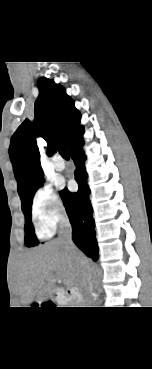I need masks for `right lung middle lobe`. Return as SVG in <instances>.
I'll return each instance as SVG.
<instances>
[{"mask_svg": "<svg viewBox=\"0 0 152 369\" xmlns=\"http://www.w3.org/2000/svg\"><path fill=\"white\" fill-rule=\"evenodd\" d=\"M43 184V180L34 185L31 189H29L21 201V208L25 215V245L27 247H33L39 244L35 234L34 228L31 223V206L32 199L36 192V190Z\"/></svg>", "mask_w": 152, "mask_h": 369, "instance_id": "dd1d6c3e", "label": "right lung middle lobe"}]
</instances>
